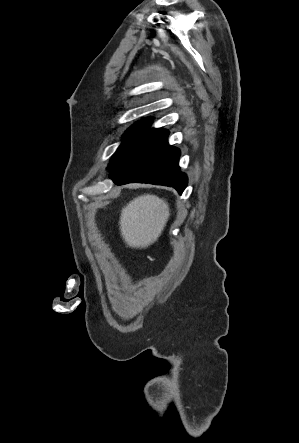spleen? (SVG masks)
Here are the masks:
<instances>
[{
	"label": "spleen",
	"instance_id": "obj_1",
	"mask_svg": "<svg viewBox=\"0 0 299 443\" xmlns=\"http://www.w3.org/2000/svg\"><path fill=\"white\" fill-rule=\"evenodd\" d=\"M169 217L168 204L156 196L135 198L122 209L120 227L130 245L145 246L156 240Z\"/></svg>",
	"mask_w": 299,
	"mask_h": 443
}]
</instances>
